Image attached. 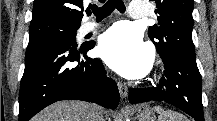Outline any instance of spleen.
I'll return each mask as SVG.
<instances>
[{
	"instance_id": "3e777b00",
	"label": "spleen",
	"mask_w": 217,
	"mask_h": 121,
	"mask_svg": "<svg viewBox=\"0 0 217 121\" xmlns=\"http://www.w3.org/2000/svg\"><path fill=\"white\" fill-rule=\"evenodd\" d=\"M159 113V121H187L186 117L175 111H165L157 106L154 108Z\"/></svg>"
}]
</instances>
